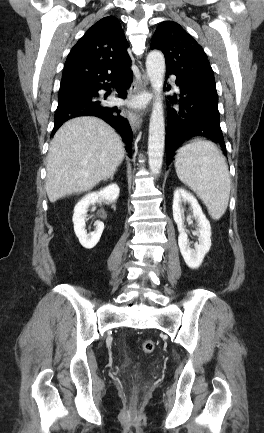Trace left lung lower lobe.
Here are the masks:
<instances>
[{"label":"left lung lower lobe","mask_w":264,"mask_h":433,"mask_svg":"<svg viewBox=\"0 0 264 433\" xmlns=\"http://www.w3.org/2000/svg\"><path fill=\"white\" fill-rule=\"evenodd\" d=\"M169 74H173L167 71ZM166 83V82H165ZM180 95L168 96L167 130L165 136L167 164L174 151L185 141L194 137H204L218 143L224 155L226 146L220 128L218 95L216 87L205 83H189L176 79Z\"/></svg>","instance_id":"obj_1"}]
</instances>
